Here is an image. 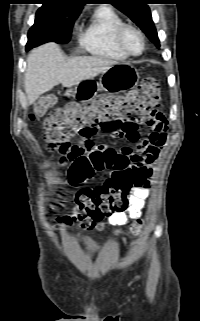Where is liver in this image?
I'll return each mask as SVG.
<instances>
[{
	"label": "liver",
	"instance_id": "1",
	"mask_svg": "<svg viewBox=\"0 0 200 321\" xmlns=\"http://www.w3.org/2000/svg\"><path fill=\"white\" fill-rule=\"evenodd\" d=\"M117 64L116 61L98 56H80L66 59L58 45L48 43L33 49L27 57L24 85L29 104L40 95L62 84L72 87L92 79Z\"/></svg>",
	"mask_w": 200,
	"mask_h": 321
}]
</instances>
